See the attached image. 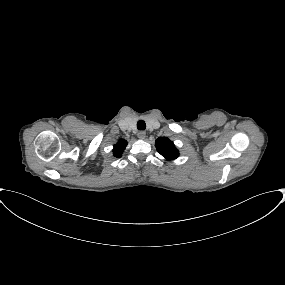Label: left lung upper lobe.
Wrapping results in <instances>:
<instances>
[{
    "label": "left lung upper lobe",
    "mask_w": 285,
    "mask_h": 285,
    "mask_svg": "<svg viewBox=\"0 0 285 285\" xmlns=\"http://www.w3.org/2000/svg\"><path fill=\"white\" fill-rule=\"evenodd\" d=\"M155 146L157 151L167 160H174L179 156L174 143L167 137H160L156 140Z\"/></svg>",
    "instance_id": "left-lung-upper-lobe-1"
}]
</instances>
